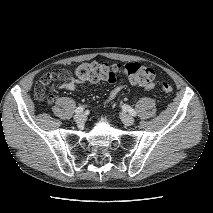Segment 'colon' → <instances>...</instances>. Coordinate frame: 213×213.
<instances>
[{"instance_id": "1", "label": "colon", "mask_w": 213, "mask_h": 213, "mask_svg": "<svg viewBox=\"0 0 213 213\" xmlns=\"http://www.w3.org/2000/svg\"><path fill=\"white\" fill-rule=\"evenodd\" d=\"M75 77L83 82L105 81L115 83L120 79L128 80L130 83L154 88L155 72L152 68L141 65L140 63H128L124 65L89 62L77 66L74 70ZM68 77L66 71H53L42 76L35 86V97L42 101L46 99V87L53 81ZM121 85H117L110 93V100L114 99L121 91ZM160 89L165 93H172L173 88L170 84L163 82Z\"/></svg>"}]
</instances>
